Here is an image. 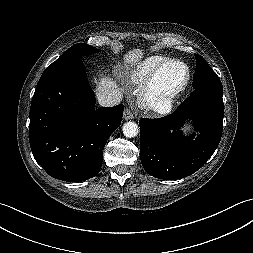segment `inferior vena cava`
Wrapping results in <instances>:
<instances>
[{
	"mask_svg": "<svg viewBox=\"0 0 253 253\" xmlns=\"http://www.w3.org/2000/svg\"><path fill=\"white\" fill-rule=\"evenodd\" d=\"M98 102L101 106L113 107L122 100V93L118 90H107L97 94Z\"/></svg>",
	"mask_w": 253,
	"mask_h": 253,
	"instance_id": "inferior-vena-cava-1",
	"label": "inferior vena cava"
}]
</instances>
